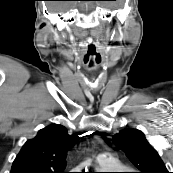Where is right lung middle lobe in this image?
<instances>
[{"instance_id":"dd1d6c3e","label":"right lung middle lobe","mask_w":173,"mask_h":173,"mask_svg":"<svg viewBox=\"0 0 173 173\" xmlns=\"http://www.w3.org/2000/svg\"><path fill=\"white\" fill-rule=\"evenodd\" d=\"M19 173H27L26 171H20Z\"/></svg>"}]
</instances>
